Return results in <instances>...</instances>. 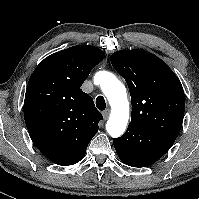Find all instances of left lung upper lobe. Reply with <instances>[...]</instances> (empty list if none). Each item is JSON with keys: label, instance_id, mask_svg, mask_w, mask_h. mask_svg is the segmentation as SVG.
Segmentation results:
<instances>
[{"label": "left lung upper lobe", "instance_id": "obj_1", "mask_svg": "<svg viewBox=\"0 0 199 199\" xmlns=\"http://www.w3.org/2000/svg\"><path fill=\"white\" fill-rule=\"evenodd\" d=\"M110 60L129 87L130 123L175 141L182 127L185 95L174 72L160 58L141 50H120Z\"/></svg>", "mask_w": 199, "mask_h": 199}]
</instances>
